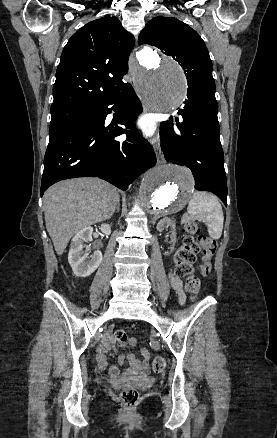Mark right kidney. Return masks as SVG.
<instances>
[{
	"label": "right kidney",
	"mask_w": 277,
	"mask_h": 438,
	"mask_svg": "<svg viewBox=\"0 0 277 438\" xmlns=\"http://www.w3.org/2000/svg\"><path fill=\"white\" fill-rule=\"evenodd\" d=\"M100 230L104 236H109V234H111L109 224H102ZM92 234L93 228H91V226H86V228L79 230L76 236L72 238L68 254V262L75 276H78V278L91 276L102 262V252L96 250L92 256H88L87 250H85V252L83 250V248H85L84 242H90V240H92Z\"/></svg>",
	"instance_id": "right-kidney-1"
}]
</instances>
